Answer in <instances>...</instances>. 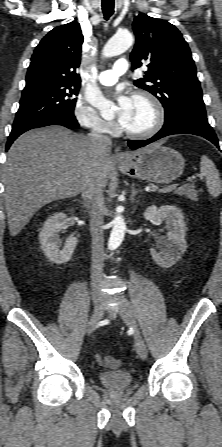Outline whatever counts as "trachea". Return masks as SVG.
I'll list each match as a JSON object with an SVG mask.
<instances>
[{
  "instance_id": "obj_1",
  "label": "trachea",
  "mask_w": 222,
  "mask_h": 447,
  "mask_svg": "<svg viewBox=\"0 0 222 447\" xmlns=\"http://www.w3.org/2000/svg\"><path fill=\"white\" fill-rule=\"evenodd\" d=\"M104 18L108 20L114 13V0H102Z\"/></svg>"
}]
</instances>
